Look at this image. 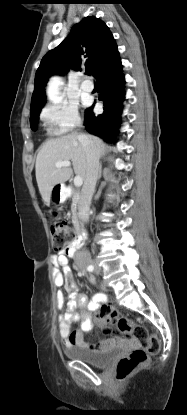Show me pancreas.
<instances>
[{
    "mask_svg": "<svg viewBox=\"0 0 187 415\" xmlns=\"http://www.w3.org/2000/svg\"><path fill=\"white\" fill-rule=\"evenodd\" d=\"M72 222H73V224H74V226H78V224H79V221H78V217H77V214H76V212L74 211V209L72 208Z\"/></svg>",
    "mask_w": 187,
    "mask_h": 415,
    "instance_id": "obj_1",
    "label": "pancreas"
}]
</instances>
